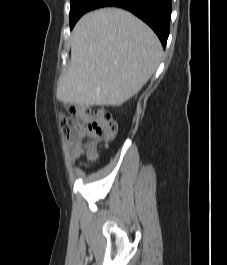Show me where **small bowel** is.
Here are the masks:
<instances>
[{
  "label": "small bowel",
  "mask_w": 227,
  "mask_h": 265,
  "mask_svg": "<svg viewBox=\"0 0 227 265\" xmlns=\"http://www.w3.org/2000/svg\"><path fill=\"white\" fill-rule=\"evenodd\" d=\"M81 132L76 131L72 135V139L69 143V150H70V155L73 160H78L80 159L84 154H85V149L80 146L79 144V136ZM96 156V148L92 150H88L87 152V157L88 160H93Z\"/></svg>",
  "instance_id": "c3829d8e"
}]
</instances>
